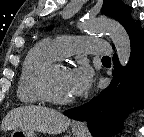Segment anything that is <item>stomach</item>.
I'll list each match as a JSON object with an SVG mask.
<instances>
[{"label": "stomach", "instance_id": "0dacf381", "mask_svg": "<svg viewBox=\"0 0 144 137\" xmlns=\"http://www.w3.org/2000/svg\"><path fill=\"white\" fill-rule=\"evenodd\" d=\"M72 133L75 137H82L83 133L81 130L72 128ZM11 137H36L34 131L14 129L11 133Z\"/></svg>", "mask_w": 144, "mask_h": 137}]
</instances>
